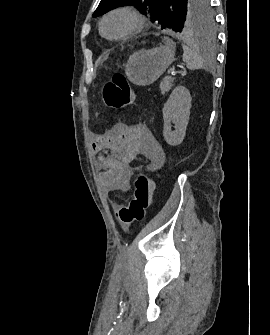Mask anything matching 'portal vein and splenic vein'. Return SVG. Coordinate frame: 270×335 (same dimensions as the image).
<instances>
[{"mask_svg":"<svg viewBox=\"0 0 270 335\" xmlns=\"http://www.w3.org/2000/svg\"><path fill=\"white\" fill-rule=\"evenodd\" d=\"M169 74H170L171 76H174L175 72H172V71H171ZM170 75H169V76H170Z\"/></svg>","mask_w":270,"mask_h":335,"instance_id":"18ae733b","label":"portal vein and splenic vein"}]
</instances>
